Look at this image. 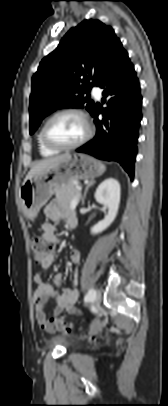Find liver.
Returning a JSON list of instances; mask_svg holds the SVG:
<instances>
[{
  "instance_id": "liver-1",
  "label": "liver",
  "mask_w": 168,
  "mask_h": 406,
  "mask_svg": "<svg viewBox=\"0 0 168 406\" xmlns=\"http://www.w3.org/2000/svg\"><path fill=\"white\" fill-rule=\"evenodd\" d=\"M70 154H63V155H58L55 157H50L44 160H41L33 165V167L30 169L28 172L26 178L24 181L32 178L34 175H37L41 172L49 171L50 169L56 167L63 161H65Z\"/></svg>"
}]
</instances>
